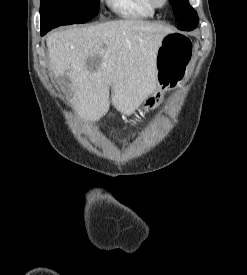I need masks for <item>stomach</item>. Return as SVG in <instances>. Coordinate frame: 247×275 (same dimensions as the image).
<instances>
[{"label":"stomach","instance_id":"stomach-1","mask_svg":"<svg viewBox=\"0 0 247 275\" xmlns=\"http://www.w3.org/2000/svg\"><path fill=\"white\" fill-rule=\"evenodd\" d=\"M193 62L192 41L185 35L172 32L165 35L156 55V82L157 89L141 105L142 111L155 109L163 100L165 91L183 85ZM139 116L136 114L134 120Z\"/></svg>","mask_w":247,"mask_h":275}]
</instances>
